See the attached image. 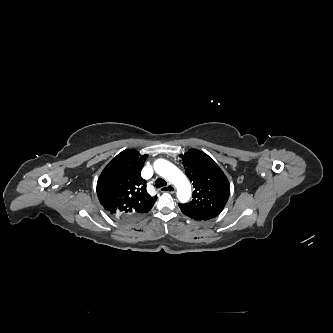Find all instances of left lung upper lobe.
I'll return each instance as SVG.
<instances>
[{
	"label": "left lung upper lobe",
	"mask_w": 333,
	"mask_h": 333,
	"mask_svg": "<svg viewBox=\"0 0 333 333\" xmlns=\"http://www.w3.org/2000/svg\"><path fill=\"white\" fill-rule=\"evenodd\" d=\"M180 158L195 188L192 201L180 205L198 213H221L230 194L222 170L207 154L196 149L181 154Z\"/></svg>",
	"instance_id": "1"
}]
</instances>
